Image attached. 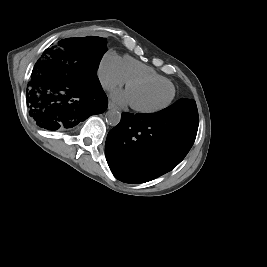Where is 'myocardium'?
Instances as JSON below:
<instances>
[{
  "instance_id": "obj_1",
  "label": "myocardium",
  "mask_w": 267,
  "mask_h": 267,
  "mask_svg": "<svg viewBox=\"0 0 267 267\" xmlns=\"http://www.w3.org/2000/svg\"><path fill=\"white\" fill-rule=\"evenodd\" d=\"M142 83H154V84H160V85H169L172 88V95H171L170 99L166 103H164V104H162L160 106L141 107V106H138L136 104L131 103L132 109H134L137 112H140V113H155V112L162 111L165 108L169 107L170 104L175 99L176 89H175V86L172 83H164L162 81H159V80H156V79L150 78V77H135V78L129 79L127 81V83H126V88L128 89L131 85L142 84Z\"/></svg>"
}]
</instances>
